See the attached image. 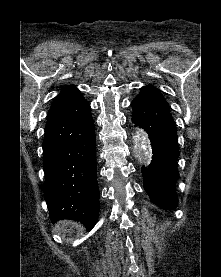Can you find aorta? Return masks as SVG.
I'll return each instance as SVG.
<instances>
[{"label":"aorta","instance_id":"aorta-1","mask_svg":"<svg viewBox=\"0 0 221 277\" xmlns=\"http://www.w3.org/2000/svg\"><path fill=\"white\" fill-rule=\"evenodd\" d=\"M135 144V154L138 159L144 163H148L151 158V148L145 133L141 130H137L133 136Z\"/></svg>","mask_w":221,"mask_h":277}]
</instances>
